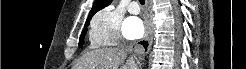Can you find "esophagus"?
<instances>
[{
    "label": "esophagus",
    "instance_id": "34e87169",
    "mask_svg": "<svg viewBox=\"0 0 246 69\" xmlns=\"http://www.w3.org/2000/svg\"><path fill=\"white\" fill-rule=\"evenodd\" d=\"M152 10L150 6V1H148V11H147V25L144 37L136 44L135 51L138 55L145 56L149 53L150 48L153 42V34H152Z\"/></svg>",
    "mask_w": 246,
    "mask_h": 69
}]
</instances>
